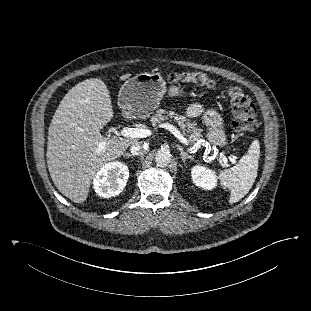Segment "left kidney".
<instances>
[{
	"instance_id": "left-kidney-1",
	"label": "left kidney",
	"mask_w": 311,
	"mask_h": 311,
	"mask_svg": "<svg viewBox=\"0 0 311 311\" xmlns=\"http://www.w3.org/2000/svg\"><path fill=\"white\" fill-rule=\"evenodd\" d=\"M191 175L195 185L205 190H212L217 185L214 172L203 166H194L191 170Z\"/></svg>"
}]
</instances>
